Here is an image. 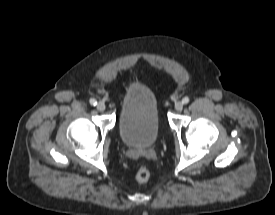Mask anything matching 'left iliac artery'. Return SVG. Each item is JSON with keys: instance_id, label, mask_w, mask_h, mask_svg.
<instances>
[{"instance_id": "44dca946", "label": "left iliac artery", "mask_w": 275, "mask_h": 215, "mask_svg": "<svg viewBox=\"0 0 275 215\" xmlns=\"http://www.w3.org/2000/svg\"><path fill=\"white\" fill-rule=\"evenodd\" d=\"M182 102H183L184 104L189 103V98H188V97H184V98L182 99Z\"/></svg>"}]
</instances>
